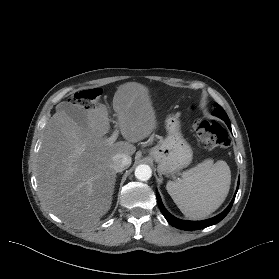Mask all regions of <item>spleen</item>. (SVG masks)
Masks as SVG:
<instances>
[{
    "label": "spleen",
    "instance_id": "obj_1",
    "mask_svg": "<svg viewBox=\"0 0 279 279\" xmlns=\"http://www.w3.org/2000/svg\"><path fill=\"white\" fill-rule=\"evenodd\" d=\"M231 184V171L223 160L208 159L183 172L182 178L169 181L167 192L192 220H200L216 211L225 201Z\"/></svg>",
    "mask_w": 279,
    "mask_h": 279
}]
</instances>
